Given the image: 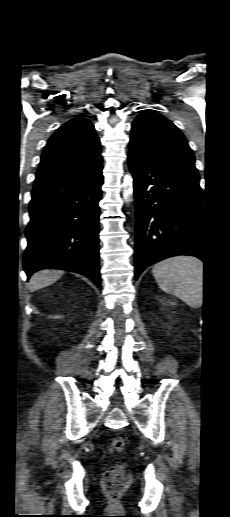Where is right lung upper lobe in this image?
<instances>
[{"instance_id": "1", "label": "right lung upper lobe", "mask_w": 230, "mask_h": 517, "mask_svg": "<svg viewBox=\"0 0 230 517\" xmlns=\"http://www.w3.org/2000/svg\"><path fill=\"white\" fill-rule=\"evenodd\" d=\"M101 163V145L93 124L83 117H75L48 140L34 188L78 178L98 168Z\"/></svg>"}]
</instances>
